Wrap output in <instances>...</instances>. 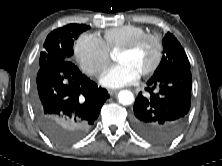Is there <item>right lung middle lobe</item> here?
<instances>
[{"instance_id": "1", "label": "right lung middle lobe", "mask_w": 222, "mask_h": 166, "mask_svg": "<svg viewBox=\"0 0 222 166\" xmlns=\"http://www.w3.org/2000/svg\"><path fill=\"white\" fill-rule=\"evenodd\" d=\"M89 29L87 25L69 24L52 31L46 38L44 49L40 54L39 67L47 64L70 60L73 44L80 33Z\"/></svg>"}]
</instances>
